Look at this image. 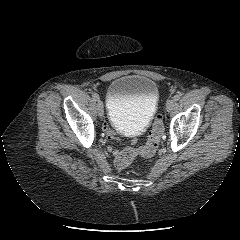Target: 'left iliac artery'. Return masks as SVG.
<instances>
[{
	"label": "left iliac artery",
	"instance_id": "obj_1",
	"mask_svg": "<svg viewBox=\"0 0 240 240\" xmlns=\"http://www.w3.org/2000/svg\"><path fill=\"white\" fill-rule=\"evenodd\" d=\"M181 96H182V93L181 92H177L175 95H174V100L175 101H178L180 98H181Z\"/></svg>",
	"mask_w": 240,
	"mask_h": 240
}]
</instances>
